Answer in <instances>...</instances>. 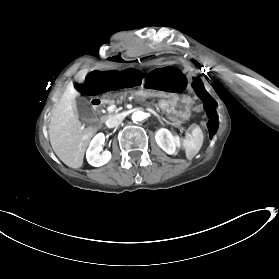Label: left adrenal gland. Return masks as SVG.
I'll return each mask as SVG.
<instances>
[{
	"instance_id": "1",
	"label": "left adrenal gland",
	"mask_w": 279,
	"mask_h": 279,
	"mask_svg": "<svg viewBox=\"0 0 279 279\" xmlns=\"http://www.w3.org/2000/svg\"><path fill=\"white\" fill-rule=\"evenodd\" d=\"M156 117H157V120L159 121V123L162 125V121H161L160 117L158 115H156Z\"/></svg>"
}]
</instances>
